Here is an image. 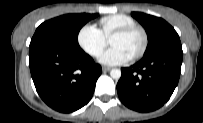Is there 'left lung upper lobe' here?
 I'll return each instance as SVG.
<instances>
[{
  "mask_svg": "<svg viewBox=\"0 0 203 123\" xmlns=\"http://www.w3.org/2000/svg\"><path fill=\"white\" fill-rule=\"evenodd\" d=\"M131 15L143 25L148 34L149 46L145 56L171 46L181 45L177 32L162 18L140 12H132Z\"/></svg>",
  "mask_w": 203,
  "mask_h": 123,
  "instance_id": "obj_1",
  "label": "left lung upper lobe"
}]
</instances>
